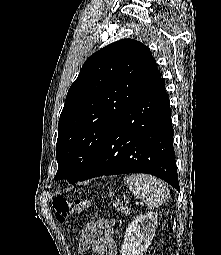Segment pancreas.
<instances>
[{
	"instance_id": "obj_1",
	"label": "pancreas",
	"mask_w": 221,
	"mask_h": 255,
	"mask_svg": "<svg viewBox=\"0 0 221 255\" xmlns=\"http://www.w3.org/2000/svg\"><path fill=\"white\" fill-rule=\"evenodd\" d=\"M114 207L118 210L121 211L124 214H129L130 213V208L125 205L123 206V204L121 202H115Z\"/></svg>"
}]
</instances>
